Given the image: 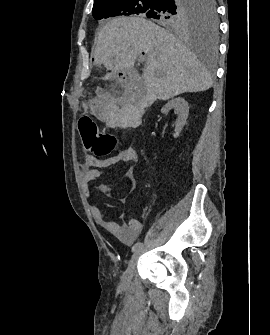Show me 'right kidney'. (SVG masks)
<instances>
[{
  "label": "right kidney",
  "mask_w": 270,
  "mask_h": 335,
  "mask_svg": "<svg viewBox=\"0 0 270 335\" xmlns=\"http://www.w3.org/2000/svg\"><path fill=\"white\" fill-rule=\"evenodd\" d=\"M175 110V114H178V118L175 122V134L174 138H178L180 132L183 130V126L186 124V120L189 114V106L187 102H185L184 98H173L170 102H167L165 106H163L161 112L165 114V112H169V110Z\"/></svg>",
  "instance_id": "ca27d5eb"
}]
</instances>
